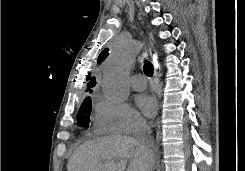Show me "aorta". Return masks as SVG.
Instances as JSON below:
<instances>
[{
    "label": "aorta",
    "mask_w": 245,
    "mask_h": 171,
    "mask_svg": "<svg viewBox=\"0 0 245 171\" xmlns=\"http://www.w3.org/2000/svg\"><path fill=\"white\" fill-rule=\"evenodd\" d=\"M142 46V42L138 40L126 39L112 53L105 65L102 80V89L107 98L113 101L128 98L130 94L129 73Z\"/></svg>",
    "instance_id": "obj_1"
}]
</instances>
